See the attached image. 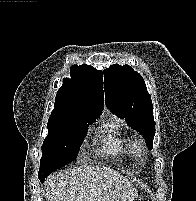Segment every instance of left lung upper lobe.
I'll return each mask as SVG.
<instances>
[{
    "mask_svg": "<svg viewBox=\"0 0 196 201\" xmlns=\"http://www.w3.org/2000/svg\"><path fill=\"white\" fill-rule=\"evenodd\" d=\"M107 107L124 118L153 147L155 121L151 96L142 76L128 65H111L104 70Z\"/></svg>",
    "mask_w": 196,
    "mask_h": 201,
    "instance_id": "5c2ea615",
    "label": "left lung upper lobe"
}]
</instances>
